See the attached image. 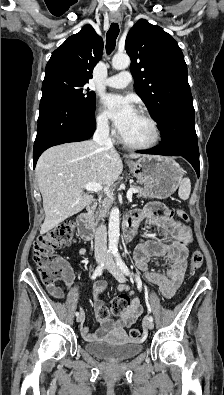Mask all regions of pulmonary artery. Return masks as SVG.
<instances>
[{"instance_id": "e3ab8cb5", "label": "pulmonary artery", "mask_w": 224, "mask_h": 395, "mask_svg": "<svg viewBox=\"0 0 224 395\" xmlns=\"http://www.w3.org/2000/svg\"><path fill=\"white\" fill-rule=\"evenodd\" d=\"M131 82V75L128 71H123L117 75L111 76L104 81V84L111 88L122 89Z\"/></svg>"}]
</instances>
